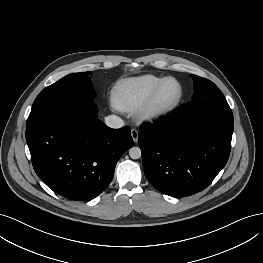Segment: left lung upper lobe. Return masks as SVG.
I'll list each match as a JSON object with an SVG mask.
<instances>
[{
  "mask_svg": "<svg viewBox=\"0 0 263 263\" xmlns=\"http://www.w3.org/2000/svg\"><path fill=\"white\" fill-rule=\"evenodd\" d=\"M191 77L195 92L192 100L181 106L183 111L194 115L214 110H231L225 97L213 82L193 74Z\"/></svg>",
  "mask_w": 263,
  "mask_h": 263,
  "instance_id": "1",
  "label": "left lung upper lobe"
}]
</instances>
